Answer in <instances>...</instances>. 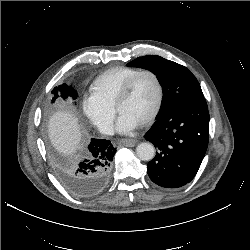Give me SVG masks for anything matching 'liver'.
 I'll return each mask as SVG.
<instances>
[{
	"mask_svg": "<svg viewBox=\"0 0 250 250\" xmlns=\"http://www.w3.org/2000/svg\"><path fill=\"white\" fill-rule=\"evenodd\" d=\"M51 143L64 156L73 155L81 144V131L77 117L70 111L55 112L48 124Z\"/></svg>",
	"mask_w": 250,
	"mask_h": 250,
	"instance_id": "1",
	"label": "liver"
}]
</instances>
